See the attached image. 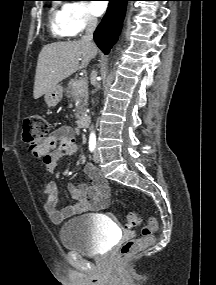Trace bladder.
I'll return each instance as SVG.
<instances>
[{
    "mask_svg": "<svg viewBox=\"0 0 216 285\" xmlns=\"http://www.w3.org/2000/svg\"><path fill=\"white\" fill-rule=\"evenodd\" d=\"M116 238V230L96 215H82L65 222L60 229L63 247L82 255L105 254Z\"/></svg>",
    "mask_w": 216,
    "mask_h": 285,
    "instance_id": "31cf9c89",
    "label": "bladder"
}]
</instances>
